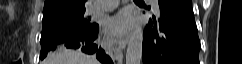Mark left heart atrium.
<instances>
[{
    "label": "left heart atrium",
    "mask_w": 242,
    "mask_h": 64,
    "mask_svg": "<svg viewBox=\"0 0 242 64\" xmlns=\"http://www.w3.org/2000/svg\"><path fill=\"white\" fill-rule=\"evenodd\" d=\"M131 25V18L127 11H121L108 18L105 24V30L108 34L119 36L126 33Z\"/></svg>",
    "instance_id": "1"
}]
</instances>
